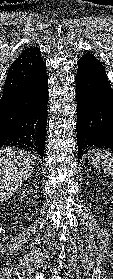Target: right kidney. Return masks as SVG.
<instances>
[{
  "label": "right kidney",
  "instance_id": "ca27d5eb",
  "mask_svg": "<svg viewBox=\"0 0 113 279\" xmlns=\"http://www.w3.org/2000/svg\"><path fill=\"white\" fill-rule=\"evenodd\" d=\"M24 196H26V195H25V191H22V194H21V201H22V198H23Z\"/></svg>",
  "mask_w": 113,
  "mask_h": 279
}]
</instances>
